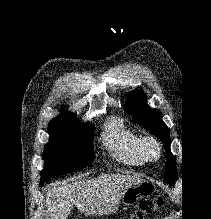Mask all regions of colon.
Here are the masks:
<instances>
[{"label": "colon", "instance_id": "obj_1", "mask_svg": "<svg viewBox=\"0 0 211 219\" xmlns=\"http://www.w3.org/2000/svg\"><path fill=\"white\" fill-rule=\"evenodd\" d=\"M164 205L162 198H154L150 201L142 202L135 212L133 219H144L145 216L160 209Z\"/></svg>", "mask_w": 211, "mask_h": 219}]
</instances>
